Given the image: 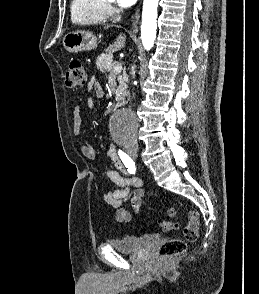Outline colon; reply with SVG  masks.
Returning a JSON list of instances; mask_svg holds the SVG:
<instances>
[{
	"mask_svg": "<svg viewBox=\"0 0 259 294\" xmlns=\"http://www.w3.org/2000/svg\"><path fill=\"white\" fill-rule=\"evenodd\" d=\"M88 75L85 70L84 64L79 59H73L70 61L68 70L65 75V85L68 88H79L87 83ZM170 217H176L178 215V209L171 207L168 210ZM178 225L173 221H163L161 228L163 230H174L177 229ZM199 233V221L198 216L195 212L190 211L188 213V222L184 228L183 238L170 239L160 245L158 248V255L160 257H172L179 255L186 251L187 242L196 240Z\"/></svg>",
	"mask_w": 259,
	"mask_h": 294,
	"instance_id": "1",
	"label": "colon"
}]
</instances>
